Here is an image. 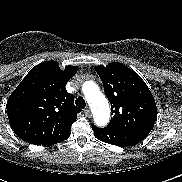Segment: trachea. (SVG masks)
I'll return each mask as SVG.
<instances>
[{"label": "trachea", "instance_id": "obj_1", "mask_svg": "<svg viewBox=\"0 0 182 182\" xmlns=\"http://www.w3.org/2000/svg\"><path fill=\"white\" fill-rule=\"evenodd\" d=\"M77 107L84 109L86 106V102L82 97H78L75 101Z\"/></svg>", "mask_w": 182, "mask_h": 182}]
</instances>
